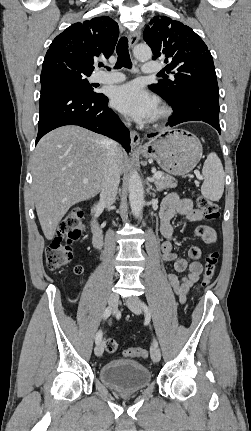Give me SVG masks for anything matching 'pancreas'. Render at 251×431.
Listing matches in <instances>:
<instances>
[{"label": "pancreas", "instance_id": "1", "mask_svg": "<svg viewBox=\"0 0 251 431\" xmlns=\"http://www.w3.org/2000/svg\"><path fill=\"white\" fill-rule=\"evenodd\" d=\"M154 184L158 191H162L167 188H175L177 186V181L174 177L161 173V177L156 178Z\"/></svg>", "mask_w": 251, "mask_h": 431}]
</instances>
